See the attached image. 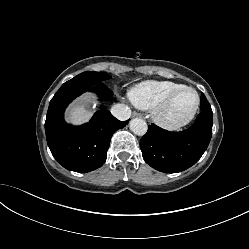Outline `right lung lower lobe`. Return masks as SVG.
I'll use <instances>...</instances> for the list:
<instances>
[{
    "label": "right lung lower lobe",
    "mask_w": 249,
    "mask_h": 249,
    "mask_svg": "<svg viewBox=\"0 0 249 249\" xmlns=\"http://www.w3.org/2000/svg\"><path fill=\"white\" fill-rule=\"evenodd\" d=\"M86 91L97 93L100 100H110L113 95L103 82L71 79L50 101L45 122L47 143L54 158L66 169L80 173L93 171L105 163L112 135L128 124L106 109L96 112L82 126L67 124L63 118L65 108Z\"/></svg>",
    "instance_id": "obj_1"
}]
</instances>
